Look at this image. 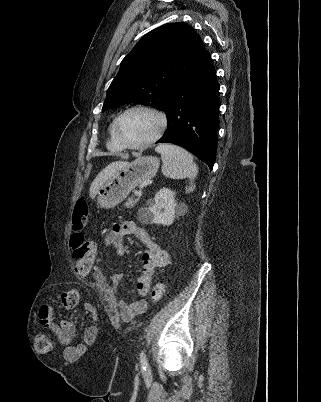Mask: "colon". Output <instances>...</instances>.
<instances>
[{"label":"colon","mask_w":321,"mask_h":402,"mask_svg":"<svg viewBox=\"0 0 321 402\" xmlns=\"http://www.w3.org/2000/svg\"><path fill=\"white\" fill-rule=\"evenodd\" d=\"M89 215V204L86 200H79L74 207L72 214L73 233L69 239L73 257L77 261V273L87 276L91 271L97 256V246L95 242L86 239L83 229L85 228ZM166 286L164 282H157L151 291L154 301H159L165 294ZM80 300L79 291L75 288L63 292L61 296L62 306L66 309L75 308ZM36 350L40 353H48L53 349V339L48 334H38L36 336Z\"/></svg>","instance_id":"1"}]
</instances>
